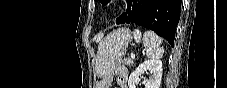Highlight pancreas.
<instances>
[{"label":"pancreas","instance_id":"pancreas-1","mask_svg":"<svg viewBox=\"0 0 227 88\" xmlns=\"http://www.w3.org/2000/svg\"><path fill=\"white\" fill-rule=\"evenodd\" d=\"M121 63L125 64V65H128V66H131L134 64V60L127 57V58H124L121 60Z\"/></svg>","mask_w":227,"mask_h":88}]
</instances>
